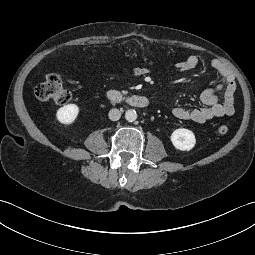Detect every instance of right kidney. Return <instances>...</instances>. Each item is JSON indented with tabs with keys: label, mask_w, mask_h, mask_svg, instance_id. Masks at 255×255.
<instances>
[{
	"label": "right kidney",
	"mask_w": 255,
	"mask_h": 255,
	"mask_svg": "<svg viewBox=\"0 0 255 255\" xmlns=\"http://www.w3.org/2000/svg\"><path fill=\"white\" fill-rule=\"evenodd\" d=\"M79 114V107L76 104H68L59 108L56 113L58 122L64 125L74 123Z\"/></svg>",
	"instance_id": "obj_1"
}]
</instances>
